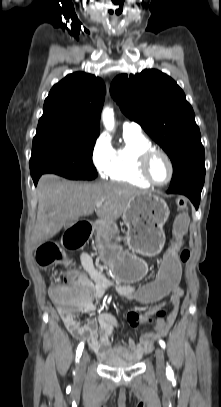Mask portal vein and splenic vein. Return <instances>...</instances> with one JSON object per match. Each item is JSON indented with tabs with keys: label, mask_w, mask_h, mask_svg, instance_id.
<instances>
[{
	"label": "portal vein and splenic vein",
	"mask_w": 221,
	"mask_h": 407,
	"mask_svg": "<svg viewBox=\"0 0 221 407\" xmlns=\"http://www.w3.org/2000/svg\"><path fill=\"white\" fill-rule=\"evenodd\" d=\"M102 203H103V201L97 202L96 207H100L102 205Z\"/></svg>",
	"instance_id": "1"
}]
</instances>
